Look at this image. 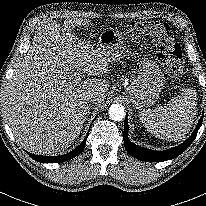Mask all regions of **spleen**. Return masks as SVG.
<instances>
[{
	"label": "spleen",
	"mask_w": 206,
	"mask_h": 206,
	"mask_svg": "<svg viewBox=\"0 0 206 206\" xmlns=\"http://www.w3.org/2000/svg\"><path fill=\"white\" fill-rule=\"evenodd\" d=\"M197 93L185 89L167 104L139 114L145 128L154 136L170 141L182 140L189 133L196 115Z\"/></svg>",
	"instance_id": "1"
}]
</instances>
